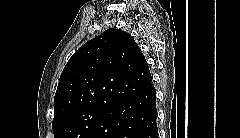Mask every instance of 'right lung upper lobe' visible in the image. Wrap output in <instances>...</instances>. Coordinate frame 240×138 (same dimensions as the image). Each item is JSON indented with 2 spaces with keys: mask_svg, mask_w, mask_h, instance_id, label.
Wrapping results in <instances>:
<instances>
[{
  "mask_svg": "<svg viewBox=\"0 0 240 138\" xmlns=\"http://www.w3.org/2000/svg\"><path fill=\"white\" fill-rule=\"evenodd\" d=\"M151 82L146 59L131 35L108 29L81 46L63 69L53 121L85 109L108 110Z\"/></svg>",
  "mask_w": 240,
  "mask_h": 138,
  "instance_id": "obj_1",
  "label": "right lung upper lobe"
}]
</instances>
